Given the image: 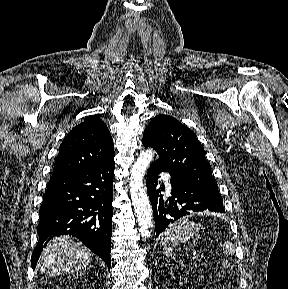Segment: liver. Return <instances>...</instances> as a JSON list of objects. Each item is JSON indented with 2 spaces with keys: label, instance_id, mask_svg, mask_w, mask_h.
I'll use <instances>...</instances> for the list:
<instances>
[{
  "label": "liver",
  "instance_id": "6515ba94",
  "mask_svg": "<svg viewBox=\"0 0 288 289\" xmlns=\"http://www.w3.org/2000/svg\"><path fill=\"white\" fill-rule=\"evenodd\" d=\"M93 253L70 236H60L50 241L43 249L38 268L52 276L81 270L91 262Z\"/></svg>",
  "mask_w": 288,
  "mask_h": 289
}]
</instances>
